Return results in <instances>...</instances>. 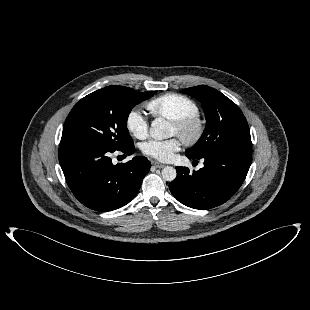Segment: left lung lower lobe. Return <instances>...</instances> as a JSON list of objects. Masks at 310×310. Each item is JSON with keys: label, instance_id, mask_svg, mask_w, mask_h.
<instances>
[{"label": "left lung lower lobe", "instance_id": "0a47b994", "mask_svg": "<svg viewBox=\"0 0 310 310\" xmlns=\"http://www.w3.org/2000/svg\"><path fill=\"white\" fill-rule=\"evenodd\" d=\"M251 159V150H223L204 157V167L198 171L190 173L187 167H176L177 177L170 183V191L179 202L194 209L219 206L240 188Z\"/></svg>", "mask_w": 310, "mask_h": 310}]
</instances>
